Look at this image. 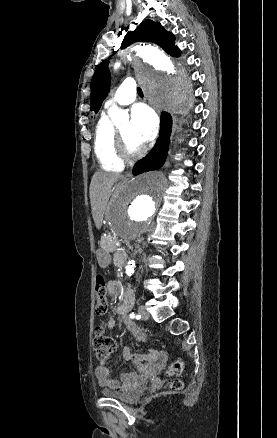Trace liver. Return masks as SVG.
<instances>
[{
  "label": "liver",
  "mask_w": 277,
  "mask_h": 438,
  "mask_svg": "<svg viewBox=\"0 0 277 438\" xmlns=\"http://www.w3.org/2000/svg\"><path fill=\"white\" fill-rule=\"evenodd\" d=\"M121 174H110V172H95L90 186V202L93 220L97 230L102 226V220L106 206L111 196V188Z\"/></svg>",
  "instance_id": "liver-1"
}]
</instances>
